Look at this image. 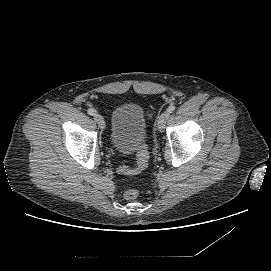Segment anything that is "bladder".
Segmentation results:
<instances>
[{
	"instance_id": "1",
	"label": "bladder",
	"mask_w": 271,
	"mask_h": 271,
	"mask_svg": "<svg viewBox=\"0 0 271 271\" xmlns=\"http://www.w3.org/2000/svg\"><path fill=\"white\" fill-rule=\"evenodd\" d=\"M147 119L143 108L134 103L117 105L111 115V145L121 154H130L143 143Z\"/></svg>"
}]
</instances>
